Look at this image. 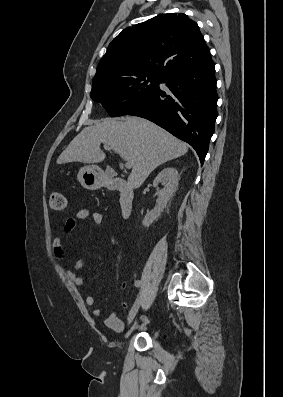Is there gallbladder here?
Returning a JSON list of instances; mask_svg holds the SVG:
<instances>
[{
    "mask_svg": "<svg viewBox=\"0 0 283 397\" xmlns=\"http://www.w3.org/2000/svg\"><path fill=\"white\" fill-rule=\"evenodd\" d=\"M107 173H108L109 175H112V172H111L110 169L107 170Z\"/></svg>",
    "mask_w": 283,
    "mask_h": 397,
    "instance_id": "1",
    "label": "gallbladder"
}]
</instances>
